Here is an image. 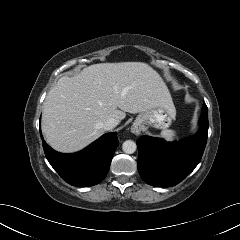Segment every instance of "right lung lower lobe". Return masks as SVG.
<instances>
[{"mask_svg":"<svg viewBox=\"0 0 240 240\" xmlns=\"http://www.w3.org/2000/svg\"><path fill=\"white\" fill-rule=\"evenodd\" d=\"M41 138L43 140L42 135ZM42 144L47 160L64 181L73 186L89 187L106 177L119 141L116 132L107 133L73 154L58 153L44 140Z\"/></svg>","mask_w":240,"mask_h":240,"instance_id":"obj_1","label":"right lung lower lobe"}]
</instances>
